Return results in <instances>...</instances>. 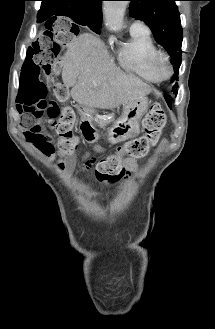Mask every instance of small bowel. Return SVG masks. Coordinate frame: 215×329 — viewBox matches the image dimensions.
<instances>
[{
  "mask_svg": "<svg viewBox=\"0 0 215 329\" xmlns=\"http://www.w3.org/2000/svg\"><path fill=\"white\" fill-rule=\"evenodd\" d=\"M33 122H34V119L33 118H29V117H27V118H22V126L24 125V126H26V127H28V129H25L24 127V129H25V134H26V137H27V139H28V141L32 144V145H34L41 153H43L44 155H46V156H51L53 153H54V146H53V143H52V138H51V136L49 135V134H47L44 130H43V128H42V131H41V133H40V135L39 136H37L35 133H33V132H29V128H31L32 126H33ZM39 138H41V139H44V140H46V141H48L51 145H52V147H53V151L52 152H50V153H47V152H43V151H41L40 150V148L38 147V142H39ZM125 166H126V168H127V170L129 171V172H133V171H135L136 170V163H135V161L134 160H132V159H127L126 161H125Z\"/></svg>",
  "mask_w": 215,
  "mask_h": 329,
  "instance_id": "1",
  "label": "small bowel"
}]
</instances>
